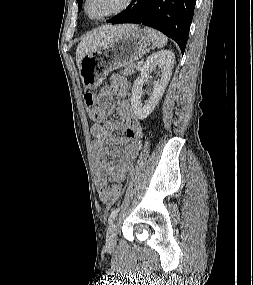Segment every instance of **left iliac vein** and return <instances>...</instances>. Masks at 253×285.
<instances>
[{
	"instance_id": "obj_1",
	"label": "left iliac vein",
	"mask_w": 253,
	"mask_h": 285,
	"mask_svg": "<svg viewBox=\"0 0 253 285\" xmlns=\"http://www.w3.org/2000/svg\"><path fill=\"white\" fill-rule=\"evenodd\" d=\"M116 244H117V224L112 223L107 230L106 246L109 249H112L116 246Z\"/></svg>"
}]
</instances>
